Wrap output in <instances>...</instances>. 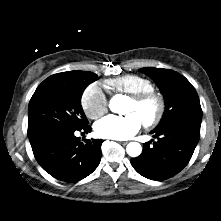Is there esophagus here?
<instances>
[{"label": "esophagus", "instance_id": "obj_1", "mask_svg": "<svg viewBox=\"0 0 221 221\" xmlns=\"http://www.w3.org/2000/svg\"><path fill=\"white\" fill-rule=\"evenodd\" d=\"M122 145H126L127 144V142L126 141H122V142H120Z\"/></svg>", "mask_w": 221, "mask_h": 221}]
</instances>
